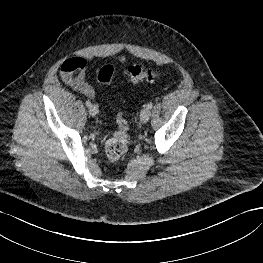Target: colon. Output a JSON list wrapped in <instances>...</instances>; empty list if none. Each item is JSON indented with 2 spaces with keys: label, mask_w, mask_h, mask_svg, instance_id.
<instances>
[{
  "label": "colon",
  "mask_w": 263,
  "mask_h": 263,
  "mask_svg": "<svg viewBox=\"0 0 263 263\" xmlns=\"http://www.w3.org/2000/svg\"><path fill=\"white\" fill-rule=\"evenodd\" d=\"M124 74L133 82L155 81L160 78L158 70L144 68L139 65L128 67ZM114 78V68L111 65L101 67L97 73L100 83L109 84ZM117 130L105 143V154L109 161H116L128 149L129 125L123 114L119 112L116 117Z\"/></svg>",
  "instance_id": "obj_1"
}]
</instances>
